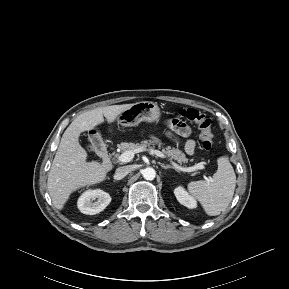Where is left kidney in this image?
Instances as JSON below:
<instances>
[{
    "label": "left kidney",
    "instance_id": "obj_1",
    "mask_svg": "<svg viewBox=\"0 0 289 289\" xmlns=\"http://www.w3.org/2000/svg\"><path fill=\"white\" fill-rule=\"evenodd\" d=\"M174 194L182 205L186 206L187 208L193 209L197 207L196 200L191 197L184 188L182 187H177L174 190Z\"/></svg>",
    "mask_w": 289,
    "mask_h": 289
}]
</instances>
